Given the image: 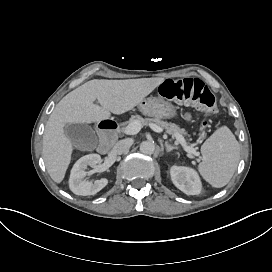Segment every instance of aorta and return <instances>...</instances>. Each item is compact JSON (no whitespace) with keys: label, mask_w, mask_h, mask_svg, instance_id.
Here are the masks:
<instances>
[{"label":"aorta","mask_w":272,"mask_h":272,"mask_svg":"<svg viewBox=\"0 0 272 272\" xmlns=\"http://www.w3.org/2000/svg\"><path fill=\"white\" fill-rule=\"evenodd\" d=\"M140 151L143 154H148V155L153 154L154 151H155V144H154V142H152V141H143L140 144Z\"/></svg>","instance_id":"762f6f07"}]
</instances>
